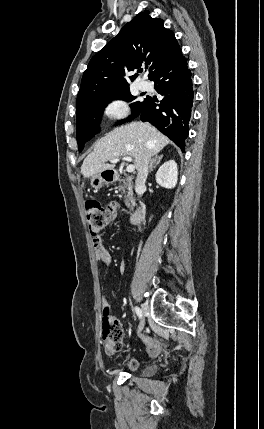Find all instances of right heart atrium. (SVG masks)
<instances>
[{"instance_id": "right-heart-atrium-1", "label": "right heart atrium", "mask_w": 264, "mask_h": 429, "mask_svg": "<svg viewBox=\"0 0 264 429\" xmlns=\"http://www.w3.org/2000/svg\"><path fill=\"white\" fill-rule=\"evenodd\" d=\"M103 117L112 123H120L129 116L128 103L119 97L109 99L102 107Z\"/></svg>"}]
</instances>
